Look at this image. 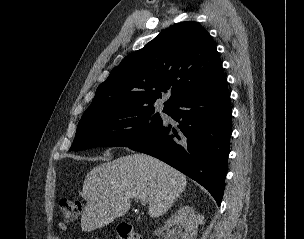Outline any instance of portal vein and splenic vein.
I'll return each instance as SVG.
<instances>
[{
  "label": "portal vein and splenic vein",
  "instance_id": "obj_1",
  "mask_svg": "<svg viewBox=\"0 0 304 239\" xmlns=\"http://www.w3.org/2000/svg\"><path fill=\"white\" fill-rule=\"evenodd\" d=\"M141 203L145 205L148 203V200L146 198H141Z\"/></svg>",
  "mask_w": 304,
  "mask_h": 239
}]
</instances>
